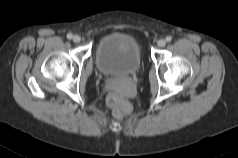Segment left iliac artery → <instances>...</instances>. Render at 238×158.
<instances>
[{
    "mask_svg": "<svg viewBox=\"0 0 238 158\" xmlns=\"http://www.w3.org/2000/svg\"><path fill=\"white\" fill-rule=\"evenodd\" d=\"M171 40H172V37H171V36H167V37H166V41H167V42H171Z\"/></svg>",
    "mask_w": 238,
    "mask_h": 158,
    "instance_id": "left-iliac-artery-1",
    "label": "left iliac artery"
}]
</instances>
